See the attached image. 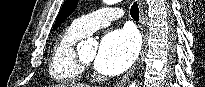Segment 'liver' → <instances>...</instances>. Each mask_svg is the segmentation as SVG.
<instances>
[{
	"label": "liver",
	"instance_id": "liver-1",
	"mask_svg": "<svg viewBox=\"0 0 205 87\" xmlns=\"http://www.w3.org/2000/svg\"><path fill=\"white\" fill-rule=\"evenodd\" d=\"M55 87H88L83 84H61V85H56Z\"/></svg>",
	"mask_w": 205,
	"mask_h": 87
}]
</instances>
